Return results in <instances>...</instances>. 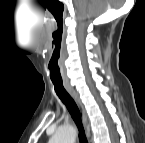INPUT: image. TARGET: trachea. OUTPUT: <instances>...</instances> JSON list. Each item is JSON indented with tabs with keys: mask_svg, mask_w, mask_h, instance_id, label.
Here are the masks:
<instances>
[{
	"mask_svg": "<svg viewBox=\"0 0 145 143\" xmlns=\"http://www.w3.org/2000/svg\"><path fill=\"white\" fill-rule=\"evenodd\" d=\"M54 89L58 97L61 99V101L65 104L67 107L69 113L71 114L75 124L77 125V128L79 130V141L80 143H88L87 138L85 135V131L83 128V124L80 118V111L75 103L74 99L70 96V94L66 91V89L63 86V83L60 82H53Z\"/></svg>",
	"mask_w": 145,
	"mask_h": 143,
	"instance_id": "trachea-1",
	"label": "trachea"
}]
</instances>
